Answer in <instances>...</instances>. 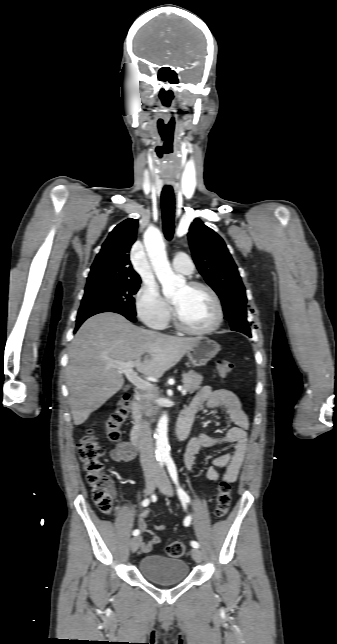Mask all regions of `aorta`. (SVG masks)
<instances>
[{"instance_id":"aorta-1","label":"aorta","mask_w":337,"mask_h":644,"mask_svg":"<svg viewBox=\"0 0 337 644\" xmlns=\"http://www.w3.org/2000/svg\"><path fill=\"white\" fill-rule=\"evenodd\" d=\"M144 243L154 272L162 285L163 294L166 297L174 295L179 288L185 286V279L182 276L175 275L172 271L161 233L157 229L147 231ZM167 433L168 416L164 414L158 421L155 439L157 454L165 459L170 458Z\"/></svg>"}]
</instances>
